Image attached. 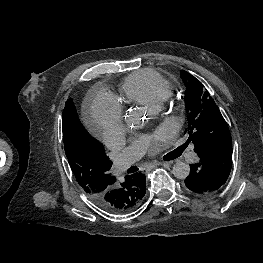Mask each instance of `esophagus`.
<instances>
[{"mask_svg": "<svg viewBox=\"0 0 263 263\" xmlns=\"http://www.w3.org/2000/svg\"><path fill=\"white\" fill-rule=\"evenodd\" d=\"M168 164H171L172 162H167ZM161 164H163L162 162H153V163H150L149 165H148V169H152V168H154V167H156V166H159V165H161Z\"/></svg>", "mask_w": 263, "mask_h": 263, "instance_id": "obj_1", "label": "esophagus"}]
</instances>
